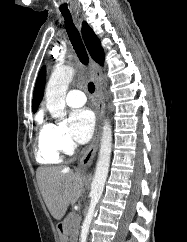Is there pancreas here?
Here are the masks:
<instances>
[{
	"mask_svg": "<svg viewBox=\"0 0 187 242\" xmlns=\"http://www.w3.org/2000/svg\"><path fill=\"white\" fill-rule=\"evenodd\" d=\"M80 216L74 212L70 213L64 220L66 232L69 235L70 242H77V237L80 229Z\"/></svg>",
	"mask_w": 187,
	"mask_h": 242,
	"instance_id": "obj_1",
	"label": "pancreas"
}]
</instances>
